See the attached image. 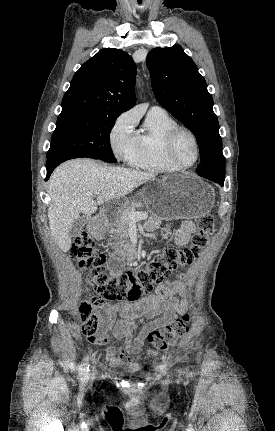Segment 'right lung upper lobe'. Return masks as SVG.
Instances as JSON below:
<instances>
[{
    "label": "right lung upper lobe",
    "mask_w": 275,
    "mask_h": 431,
    "mask_svg": "<svg viewBox=\"0 0 275 431\" xmlns=\"http://www.w3.org/2000/svg\"><path fill=\"white\" fill-rule=\"evenodd\" d=\"M136 65L128 53L100 50L74 74L64 94L61 114L106 112L121 114L135 104Z\"/></svg>",
    "instance_id": "1"
}]
</instances>
